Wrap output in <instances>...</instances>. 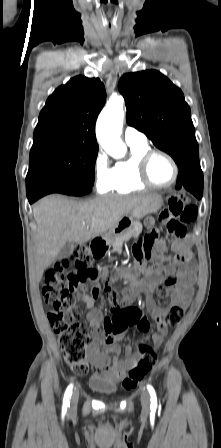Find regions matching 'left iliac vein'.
Returning <instances> with one entry per match:
<instances>
[{
  "mask_svg": "<svg viewBox=\"0 0 221 448\" xmlns=\"http://www.w3.org/2000/svg\"><path fill=\"white\" fill-rule=\"evenodd\" d=\"M141 404H142L143 410L145 412H148L150 400H149V394L146 390H142V392H141Z\"/></svg>",
  "mask_w": 221,
  "mask_h": 448,
  "instance_id": "obj_1",
  "label": "left iliac vein"
}]
</instances>
